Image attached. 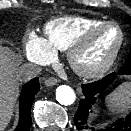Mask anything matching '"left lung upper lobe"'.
<instances>
[{"instance_id":"5c2ea615","label":"left lung upper lobe","mask_w":131,"mask_h":131,"mask_svg":"<svg viewBox=\"0 0 131 131\" xmlns=\"http://www.w3.org/2000/svg\"><path fill=\"white\" fill-rule=\"evenodd\" d=\"M130 23H131V21H130ZM124 67H131V50H130V53H129V55H128V58H127V60L125 61V63H124V65H123L122 68H124Z\"/></svg>"}]
</instances>
